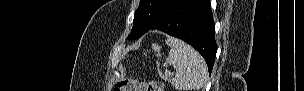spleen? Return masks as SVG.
Listing matches in <instances>:
<instances>
[{
    "mask_svg": "<svg viewBox=\"0 0 304 91\" xmlns=\"http://www.w3.org/2000/svg\"><path fill=\"white\" fill-rule=\"evenodd\" d=\"M166 44L170 52L166 62L174 68V72L165 71V76L172 79L176 89L182 91L195 90L203 86L207 79V66L202 56L190 45L177 38H168ZM153 49L160 56V47L153 45ZM160 63L157 61V66Z\"/></svg>",
    "mask_w": 304,
    "mask_h": 91,
    "instance_id": "spleen-1",
    "label": "spleen"
}]
</instances>
